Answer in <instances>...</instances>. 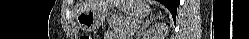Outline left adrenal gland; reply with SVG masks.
Listing matches in <instances>:
<instances>
[{"instance_id": "left-adrenal-gland-1", "label": "left adrenal gland", "mask_w": 249, "mask_h": 39, "mask_svg": "<svg viewBox=\"0 0 249 39\" xmlns=\"http://www.w3.org/2000/svg\"><path fill=\"white\" fill-rule=\"evenodd\" d=\"M148 24H149V22H148V21H146L145 23H143V24H142V28L147 27V26H148ZM138 35H139V33H138Z\"/></svg>"}]
</instances>
